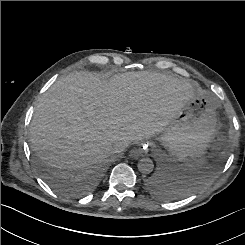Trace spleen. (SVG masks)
<instances>
[{"mask_svg":"<svg viewBox=\"0 0 245 245\" xmlns=\"http://www.w3.org/2000/svg\"><path fill=\"white\" fill-rule=\"evenodd\" d=\"M204 164H205V161L203 160L186 162V165L189 167L190 170H196V169L202 168Z\"/></svg>","mask_w":245,"mask_h":245,"instance_id":"1","label":"spleen"}]
</instances>
